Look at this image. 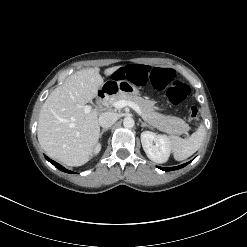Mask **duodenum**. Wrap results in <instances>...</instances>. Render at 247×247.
Instances as JSON below:
<instances>
[{
	"mask_svg": "<svg viewBox=\"0 0 247 247\" xmlns=\"http://www.w3.org/2000/svg\"><path fill=\"white\" fill-rule=\"evenodd\" d=\"M117 87L115 85H105L102 87L97 94V100L101 103L108 95L117 92Z\"/></svg>",
	"mask_w": 247,
	"mask_h": 247,
	"instance_id": "1",
	"label": "duodenum"
}]
</instances>
